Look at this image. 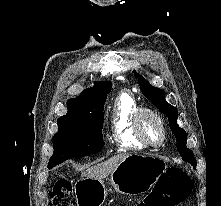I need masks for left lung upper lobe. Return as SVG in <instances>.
Segmentation results:
<instances>
[{"instance_id":"obj_1","label":"left lung upper lobe","mask_w":221,"mask_h":206,"mask_svg":"<svg viewBox=\"0 0 221 206\" xmlns=\"http://www.w3.org/2000/svg\"><path fill=\"white\" fill-rule=\"evenodd\" d=\"M135 72V70L133 71ZM135 77L139 80V85L142 93L146 98L160 108L167 116L170 124V128L176 137L177 149L182 159L191 163L196 168L195 158L191 150L186 147L187 135L183 128H180L177 124L178 111L175 107L168 104L165 100V93L163 90L158 89L149 84L138 73H135Z\"/></svg>"}]
</instances>
